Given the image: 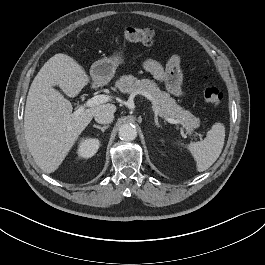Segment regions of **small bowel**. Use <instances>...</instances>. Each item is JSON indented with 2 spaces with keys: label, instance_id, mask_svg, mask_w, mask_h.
Wrapping results in <instances>:
<instances>
[{
  "label": "small bowel",
  "instance_id": "c3829d8e",
  "mask_svg": "<svg viewBox=\"0 0 265 265\" xmlns=\"http://www.w3.org/2000/svg\"><path fill=\"white\" fill-rule=\"evenodd\" d=\"M144 69L152 74L157 80L163 82L167 90L174 96L184 95L182 90L181 59L179 56H172L166 66H163L154 59H146L143 63Z\"/></svg>",
  "mask_w": 265,
  "mask_h": 265
}]
</instances>
